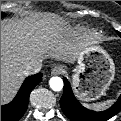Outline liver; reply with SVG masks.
I'll return each mask as SVG.
<instances>
[{
  "instance_id": "1",
  "label": "liver",
  "mask_w": 121,
  "mask_h": 121,
  "mask_svg": "<svg viewBox=\"0 0 121 121\" xmlns=\"http://www.w3.org/2000/svg\"><path fill=\"white\" fill-rule=\"evenodd\" d=\"M65 28L52 15L41 19L1 21V104L9 102L24 79L22 64L31 57L72 62L88 39L64 37Z\"/></svg>"
}]
</instances>
